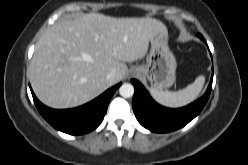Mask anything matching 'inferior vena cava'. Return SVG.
Returning <instances> with one entry per match:
<instances>
[{
	"instance_id": "1",
	"label": "inferior vena cava",
	"mask_w": 248,
	"mask_h": 165,
	"mask_svg": "<svg viewBox=\"0 0 248 165\" xmlns=\"http://www.w3.org/2000/svg\"><path fill=\"white\" fill-rule=\"evenodd\" d=\"M107 80L110 82H114L115 78H116V72L115 71H110L107 76H106Z\"/></svg>"
}]
</instances>
